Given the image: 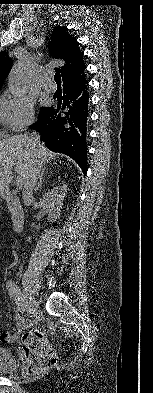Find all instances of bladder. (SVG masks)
<instances>
[{"instance_id":"obj_1","label":"bladder","mask_w":153,"mask_h":393,"mask_svg":"<svg viewBox=\"0 0 153 393\" xmlns=\"http://www.w3.org/2000/svg\"><path fill=\"white\" fill-rule=\"evenodd\" d=\"M12 368V362L9 359V352L6 348H0V372L9 371Z\"/></svg>"}]
</instances>
